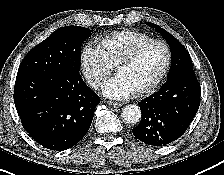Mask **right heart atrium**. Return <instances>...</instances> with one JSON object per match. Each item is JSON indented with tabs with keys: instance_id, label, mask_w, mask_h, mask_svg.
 <instances>
[{
	"instance_id": "1",
	"label": "right heart atrium",
	"mask_w": 224,
	"mask_h": 175,
	"mask_svg": "<svg viewBox=\"0 0 224 175\" xmlns=\"http://www.w3.org/2000/svg\"><path fill=\"white\" fill-rule=\"evenodd\" d=\"M81 66L88 83L94 88H98L114 68L100 47L93 45L83 48Z\"/></svg>"
}]
</instances>
